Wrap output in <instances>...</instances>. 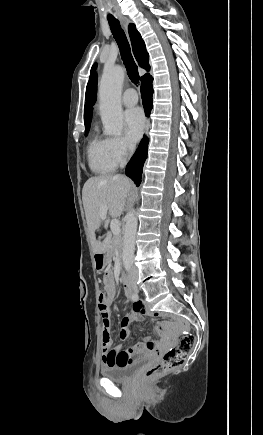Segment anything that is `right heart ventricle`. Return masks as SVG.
I'll use <instances>...</instances> for the list:
<instances>
[{"mask_svg": "<svg viewBox=\"0 0 263 435\" xmlns=\"http://www.w3.org/2000/svg\"><path fill=\"white\" fill-rule=\"evenodd\" d=\"M89 167L95 174L106 175L112 173L117 163L113 159L110 138L94 133L87 149Z\"/></svg>", "mask_w": 263, "mask_h": 435, "instance_id": "obj_1", "label": "right heart ventricle"}]
</instances>
